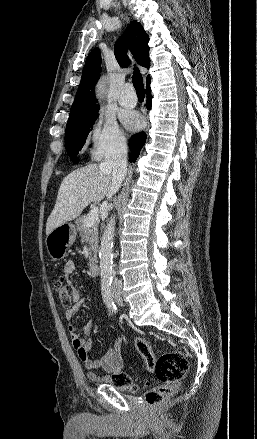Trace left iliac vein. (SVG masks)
Instances as JSON below:
<instances>
[{
	"mask_svg": "<svg viewBox=\"0 0 257 439\" xmlns=\"http://www.w3.org/2000/svg\"><path fill=\"white\" fill-rule=\"evenodd\" d=\"M114 299L118 304H123V299L120 293H115L114 294Z\"/></svg>",
	"mask_w": 257,
	"mask_h": 439,
	"instance_id": "obj_1",
	"label": "left iliac vein"
}]
</instances>
